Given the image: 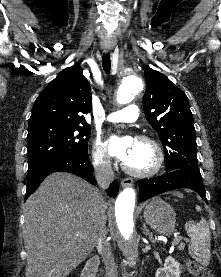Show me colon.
Masks as SVG:
<instances>
[{
  "label": "colon",
  "mask_w": 221,
  "mask_h": 277,
  "mask_svg": "<svg viewBox=\"0 0 221 277\" xmlns=\"http://www.w3.org/2000/svg\"><path fill=\"white\" fill-rule=\"evenodd\" d=\"M186 268L194 277H214L208 268L201 266L193 260L186 261Z\"/></svg>",
  "instance_id": "5ec220e1"
}]
</instances>
